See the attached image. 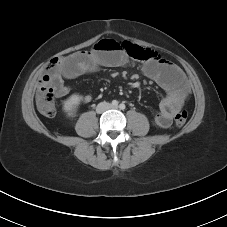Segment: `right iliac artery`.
Returning <instances> with one entry per match:
<instances>
[{
    "label": "right iliac artery",
    "instance_id": "1",
    "mask_svg": "<svg viewBox=\"0 0 227 227\" xmlns=\"http://www.w3.org/2000/svg\"><path fill=\"white\" fill-rule=\"evenodd\" d=\"M118 105V101L117 100H113L112 101V106L116 107Z\"/></svg>",
    "mask_w": 227,
    "mask_h": 227
}]
</instances>
